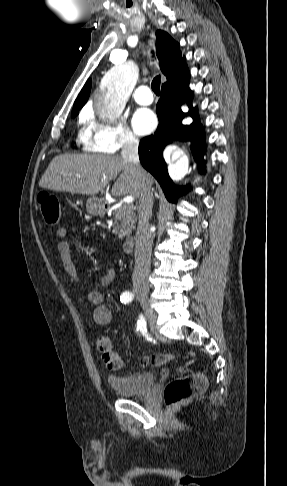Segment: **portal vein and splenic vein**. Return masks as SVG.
I'll use <instances>...</instances> for the list:
<instances>
[{"label":"portal vein and splenic vein","mask_w":287,"mask_h":486,"mask_svg":"<svg viewBox=\"0 0 287 486\" xmlns=\"http://www.w3.org/2000/svg\"><path fill=\"white\" fill-rule=\"evenodd\" d=\"M133 199H134L133 197H127V198L124 199V201H125V203L129 204V203H132Z\"/></svg>","instance_id":"obj_1"}]
</instances>
